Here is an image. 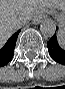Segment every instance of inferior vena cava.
<instances>
[{
  "label": "inferior vena cava",
  "instance_id": "1",
  "mask_svg": "<svg viewBox=\"0 0 65 89\" xmlns=\"http://www.w3.org/2000/svg\"><path fill=\"white\" fill-rule=\"evenodd\" d=\"M27 21H28V18H22V19L18 20L17 27L21 28L22 26H24L27 23Z\"/></svg>",
  "mask_w": 65,
  "mask_h": 89
}]
</instances>
